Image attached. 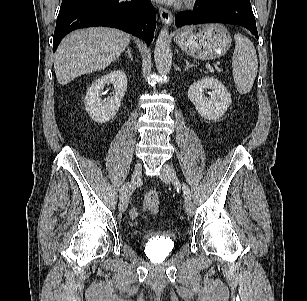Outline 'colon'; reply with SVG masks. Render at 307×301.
Here are the masks:
<instances>
[{"mask_svg":"<svg viewBox=\"0 0 307 301\" xmlns=\"http://www.w3.org/2000/svg\"><path fill=\"white\" fill-rule=\"evenodd\" d=\"M143 208L148 214H156L160 208V200L157 192L149 191L144 195Z\"/></svg>","mask_w":307,"mask_h":301,"instance_id":"5ec220e1","label":"colon"}]
</instances>
